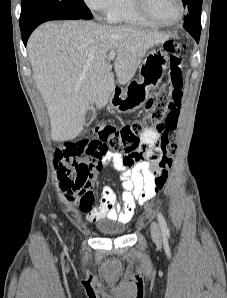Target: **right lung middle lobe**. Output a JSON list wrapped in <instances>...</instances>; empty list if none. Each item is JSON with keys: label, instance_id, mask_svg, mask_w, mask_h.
I'll use <instances>...</instances> for the list:
<instances>
[{"label": "right lung middle lobe", "instance_id": "dd1d6c3e", "mask_svg": "<svg viewBox=\"0 0 227 298\" xmlns=\"http://www.w3.org/2000/svg\"><path fill=\"white\" fill-rule=\"evenodd\" d=\"M93 17L83 0H21L20 29L44 16Z\"/></svg>", "mask_w": 227, "mask_h": 298}]
</instances>
